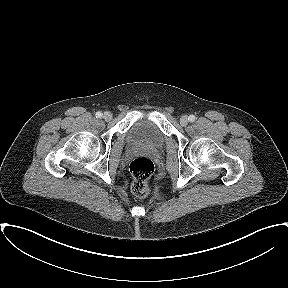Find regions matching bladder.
I'll return each mask as SVG.
<instances>
[{"label": "bladder", "mask_w": 288, "mask_h": 288, "mask_svg": "<svg viewBox=\"0 0 288 288\" xmlns=\"http://www.w3.org/2000/svg\"><path fill=\"white\" fill-rule=\"evenodd\" d=\"M127 140L137 147L157 149L163 146L165 136L157 123L145 117L131 125Z\"/></svg>", "instance_id": "1"}]
</instances>
